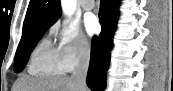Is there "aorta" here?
<instances>
[{
  "mask_svg": "<svg viewBox=\"0 0 173 91\" xmlns=\"http://www.w3.org/2000/svg\"><path fill=\"white\" fill-rule=\"evenodd\" d=\"M62 10L67 15H72L76 8V0H61Z\"/></svg>",
  "mask_w": 173,
  "mask_h": 91,
  "instance_id": "762f6f07",
  "label": "aorta"
}]
</instances>
